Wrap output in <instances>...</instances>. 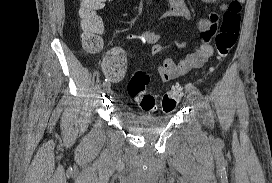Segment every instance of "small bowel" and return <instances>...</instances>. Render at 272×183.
<instances>
[{"label": "small bowel", "instance_id": "small-bowel-1", "mask_svg": "<svg viewBox=\"0 0 272 183\" xmlns=\"http://www.w3.org/2000/svg\"><path fill=\"white\" fill-rule=\"evenodd\" d=\"M206 3H215L217 0H202ZM171 7V14L173 16L181 17L186 20L191 18V11L185 0H169ZM222 9L225 5H222ZM219 15L216 12L210 13L208 18L201 19L198 22V28L200 30L201 38L197 39L200 43L190 54H188L183 60L179 62H174L172 60H165L159 67L158 73L163 81H171L186 75L192 69L202 67L207 60L213 54V48L209 43H213L214 31L218 30ZM142 39L152 46V53L154 55L161 54L162 52L176 47L178 49H184L186 43L174 41L166 47H161L155 43L159 39L158 34H153L150 32H145L142 35ZM103 71L105 75L111 81H119L125 74L126 71V56L122 48L116 47L109 51L107 56L103 59Z\"/></svg>", "mask_w": 272, "mask_h": 183}]
</instances>
